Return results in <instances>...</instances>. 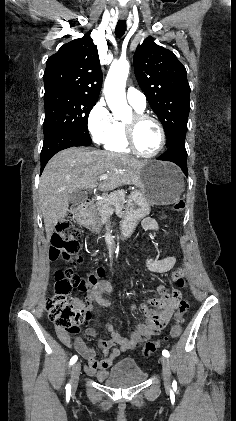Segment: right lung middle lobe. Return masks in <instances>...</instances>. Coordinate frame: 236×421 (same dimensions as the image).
Masks as SVG:
<instances>
[{
    "label": "right lung middle lobe",
    "instance_id": "1",
    "mask_svg": "<svg viewBox=\"0 0 236 421\" xmlns=\"http://www.w3.org/2000/svg\"><path fill=\"white\" fill-rule=\"evenodd\" d=\"M96 102V98L66 91L45 92L44 140L57 133H69L91 141L87 120Z\"/></svg>",
    "mask_w": 236,
    "mask_h": 421
}]
</instances>
